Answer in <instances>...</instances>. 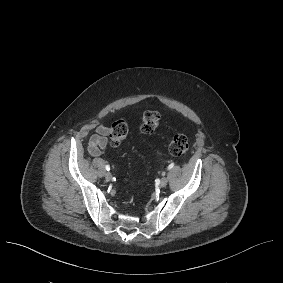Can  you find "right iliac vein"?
Listing matches in <instances>:
<instances>
[{
	"label": "right iliac vein",
	"instance_id": "right-iliac-vein-1",
	"mask_svg": "<svg viewBox=\"0 0 283 283\" xmlns=\"http://www.w3.org/2000/svg\"><path fill=\"white\" fill-rule=\"evenodd\" d=\"M104 176L107 181H110L112 179V174L110 172H106Z\"/></svg>",
	"mask_w": 283,
	"mask_h": 283
}]
</instances>
